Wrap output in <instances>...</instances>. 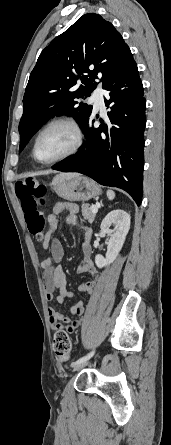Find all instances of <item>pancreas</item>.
Returning a JSON list of instances; mask_svg holds the SVG:
<instances>
[{"instance_id": "cf45deb5", "label": "pancreas", "mask_w": 171, "mask_h": 445, "mask_svg": "<svg viewBox=\"0 0 171 445\" xmlns=\"http://www.w3.org/2000/svg\"><path fill=\"white\" fill-rule=\"evenodd\" d=\"M71 212L74 213L73 211ZM82 215L89 222H93L96 214L91 211L88 204H82Z\"/></svg>"}]
</instances>
